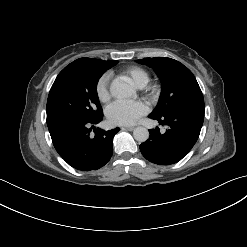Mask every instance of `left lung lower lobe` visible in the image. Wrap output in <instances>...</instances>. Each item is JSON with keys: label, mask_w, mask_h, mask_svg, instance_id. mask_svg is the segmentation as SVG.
Returning <instances> with one entry per match:
<instances>
[{"label": "left lung lower lobe", "mask_w": 247, "mask_h": 247, "mask_svg": "<svg viewBox=\"0 0 247 247\" xmlns=\"http://www.w3.org/2000/svg\"><path fill=\"white\" fill-rule=\"evenodd\" d=\"M152 119L165 126L166 131L160 133L158 127L150 129L149 139L140 145V151L152 163L170 165L185 157L196 143L203 125L204 112L180 110Z\"/></svg>", "instance_id": "0a47b994"}]
</instances>
